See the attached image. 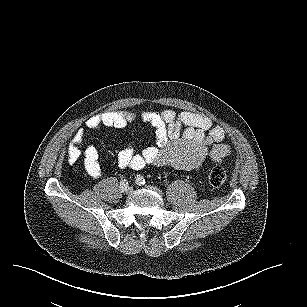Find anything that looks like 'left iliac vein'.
Wrapping results in <instances>:
<instances>
[{"label": "left iliac vein", "instance_id": "4c4485c4", "mask_svg": "<svg viewBox=\"0 0 307 307\" xmlns=\"http://www.w3.org/2000/svg\"><path fill=\"white\" fill-rule=\"evenodd\" d=\"M147 189H150V190H153V191H156L158 192L159 194H161V191L158 189V187L156 186H152V185H148L146 186Z\"/></svg>", "mask_w": 307, "mask_h": 307}]
</instances>
